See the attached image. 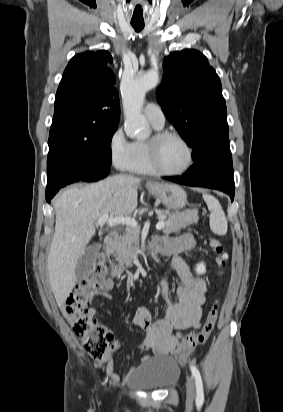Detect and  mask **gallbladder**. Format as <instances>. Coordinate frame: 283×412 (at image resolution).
I'll return each instance as SVG.
<instances>
[{"instance_id":"gallbladder-1","label":"gallbladder","mask_w":283,"mask_h":412,"mask_svg":"<svg viewBox=\"0 0 283 412\" xmlns=\"http://www.w3.org/2000/svg\"><path fill=\"white\" fill-rule=\"evenodd\" d=\"M100 245L94 244L88 248L85 254L78 260L75 269L77 280H81L91 269L93 262L98 254Z\"/></svg>"}]
</instances>
